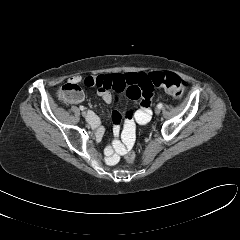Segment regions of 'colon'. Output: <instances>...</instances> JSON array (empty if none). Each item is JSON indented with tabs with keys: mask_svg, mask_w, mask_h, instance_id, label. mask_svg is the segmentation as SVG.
Returning a JSON list of instances; mask_svg holds the SVG:
<instances>
[{
	"mask_svg": "<svg viewBox=\"0 0 240 240\" xmlns=\"http://www.w3.org/2000/svg\"><path fill=\"white\" fill-rule=\"evenodd\" d=\"M149 79L154 87L164 89L168 94L175 98H180L186 88L185 82L177 74L172 72H152L149 74ZM82 95L81 87L77 83L68 82L59 90V96L67 101L79 99ZM132 116V111L126 112V119H130ZM132 142L133 132H125V161L127 163H132L135 159V153L131 150Z\"/></svg>",
	"mask_w": 240,
	"mask_h": 240,
	"instance_id": "colon-1",
	"label": "colon"
}]
</instances>
